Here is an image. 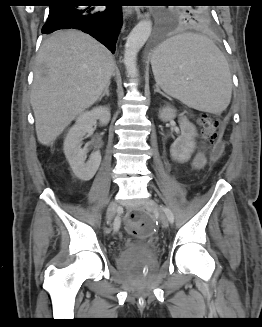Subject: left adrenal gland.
Segmentation results:
<instances>
[{"mask_svg": "<svg viewBox=\"0 0 262 327\" xmlns=\"http://www.w3.org/2000/svg\"><path fill=\"white\" fill-rule=\"evenodd\" d=\"M157 92L160 93V94H162V95H164V94L160 91L158 85H156V88H155V90H154V93H157Z\"/></svg>", "mask_w": 262, "mask_h": 327, "instance_id": "a2214340", "label": "left adrenal gland"}]
</instances>
